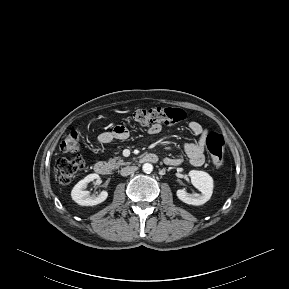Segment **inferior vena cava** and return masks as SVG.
Here are the masks:
<instances>
[{"mask_svg":"<svg viewBox=\"0 0 289 289\" xmlns=\"http://www.w3.org/2000/svg\"><path fill=\"white\" fill-rule=\"evenodd\" d=\"M136 170H137L136 166H131V167L128 166V167L122 168L120 171V174L122 176H128V175L134 173Z\"/></svg>","mask_w":289,"mask_h":289,"instance_id":"1","label":"inferior vena cava"}]
</instances>
